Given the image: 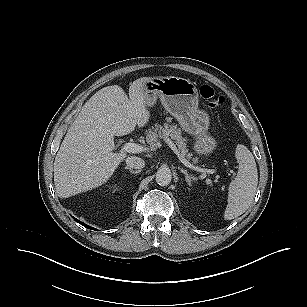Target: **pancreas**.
<instances>
[{
  "instance_id": "obj_1",
  "label": "pancreas",
  "mask_w": 307,
  "mask_h": 307,
  "mask_svg": "<svg viewBox=\"0 0 307 307\" xmlns=\"http://www.w3.org/2000/svg\"><path fill=\"white\" fill-rule=\"evenodd\" d=\"M168 137L174 140L180 152L183 155H186L188 160L192 159L194 163L198 162V158H192V154L188 153L186 146L187 140L182 137V132L180 129L177 128L176 125H169L168 123H165L164 126H161L160 124L156 123L153 127L149 128L146 131V141L153 148H156L158 146L159 139H164Z\"/></svg>"
}]
</instances>
